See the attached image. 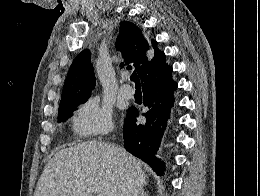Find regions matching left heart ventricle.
Returning <instances> with one entry per match:
<instances>
[{
  "label": "left heart ventricle",
  "mask_w": 260,
  "mask_h": 196,
  "mask_svg": "<svg viewBox=\"0 0 260 196\" xmlns=\"http://www.w3.org/2000/svg\"><path fill=\"white\" fill-rule=\"evenodd\" d=\"M55 192H65V190H55ZM95 192H108V190H95Z\"/></svg>",
  "instance_id": "left-heart-ventricle-1"
}]
</instances>
